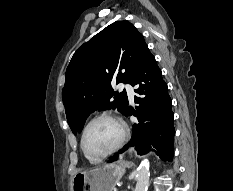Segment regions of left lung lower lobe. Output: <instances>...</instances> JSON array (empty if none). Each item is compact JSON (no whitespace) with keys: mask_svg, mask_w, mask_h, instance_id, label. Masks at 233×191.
I'll list each match as a JSON object with an SVG mask.
<instances>
[{"mask_svg":"<svg viewBox=\"0 0 233 191\" xmlns=\"http://www.w3.org/2000/svg\"><path fill=\"white\" fill-rule=\"evenodd\" d=\"M129 84L136 86L134 90L140 97L135 96L137 111L128 108L125 115H135L138 122L134 124V133L125 148L135 147L139 155L146 154L151 145L163 161H172L175 129L174 114L171 110L172 100L167 92V84L162 78L155 57L150 53L138 70L131 77ZM112 157L108 163L117 160Z\"/></svg>","mask_w":233,"mask_h":191,"instance_id":"0a47b994","label":"left lung lower lobe"}]
</instances>
